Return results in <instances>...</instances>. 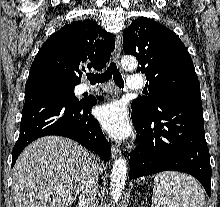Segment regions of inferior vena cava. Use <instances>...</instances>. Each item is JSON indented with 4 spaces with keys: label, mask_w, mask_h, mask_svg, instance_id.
<instances>
[{
    "label": "inferior vena cava",
    "mask_w": 220,
    "mask_h": 207,
    "mask_svg": "<svg viewBox=\"0 0 220 207\" xmlns=\"http://www.w3.org/2000/svg\"><path fill=\"white\" fill-rule=\"evenodd\" d=\"M98 165L94 161L91 167L81 177L79 190V206L80 207H94L98 189Z\"/></svg>",
    "instance_id": "602c4592"
}]
</instances>
